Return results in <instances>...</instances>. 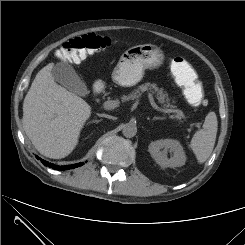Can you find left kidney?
Instances as JSON below:
<instances>
[{
	"mask_svg": "<svg viewBox=\"0 0 245 245\" xmlns=\"http://www.w3.org/2000/svg\"><path fill=\"white\" fill-rule=\"evenodd\" d=\"M151 157L163 168L180 167L186 162V155L179 141L173 139H161L153 141L148 146ZM168 151L172 154L168 158Z\"/></svg>",
	"mask_w": 245,
	"mask_h": 245,
	"instance_id": "5707ae66",
	"label": "left kidney"
}]
</instances>
